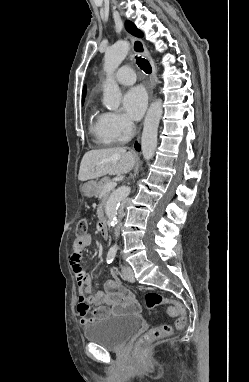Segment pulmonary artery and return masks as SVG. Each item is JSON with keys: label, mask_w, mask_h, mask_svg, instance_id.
<instances>
[{"label": "pulmonary artery", "mask_w": 249, "mask_h": 382, "mask_svg": "<svg viewBox=\"0 0 249 382\" xmlns=\"http://www.w3.org/2000/svg\"><path fill=\"white\" fill-rule=\"evenodd\" d=\"M114 79L122 85H132L136 81L134 70L129 65L119 68L114 75Z\"/></svg>", "instance_id": "e3ab8cb5"}]
</instances>
